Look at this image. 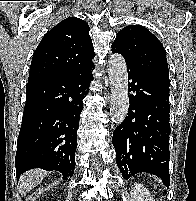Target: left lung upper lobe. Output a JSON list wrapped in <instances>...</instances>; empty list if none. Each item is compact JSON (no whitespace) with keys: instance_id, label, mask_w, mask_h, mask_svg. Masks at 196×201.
<instances>
[{"instance_id":"left-lung-upper-lobe-1","label":"left lung upper lobe","mask_w":196,"mask_h":201,"mask_svg":"<svg viewBox=\"0 0 196 201\" xmlns=\"http://www.w3.org/2000/svg\"><path fill=\"white\" fill-rule=\"evenodd\" d=\"M112 51L125 58L127 67L169 85L164 47L147 28L139 25L126 26L117 34Z\"/></svg>"}]
</instances>
